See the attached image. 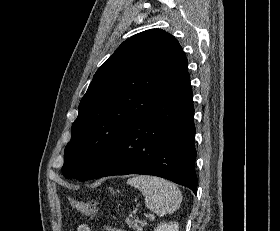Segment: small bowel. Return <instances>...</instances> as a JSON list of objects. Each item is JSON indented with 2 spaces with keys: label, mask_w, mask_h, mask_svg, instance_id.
I'll return each instance as SVG.
<instances>
[{
  "label": "small bowel",
  "mask_w": 280,
  "mask_h": 231,
  "mask_svg": "<svg viewBox=\"0 0 280 231\" xmlns=\"http://www.w3.org/2000/svg\"><path fill=\"white\" fill-rule=\"evenodd\" d=\"M77 231H92V229L90 228V226L88 224L81 223L78 225Z\"/></svg>",
  "instance_id": "c3829d8e"
}]
</instances>
